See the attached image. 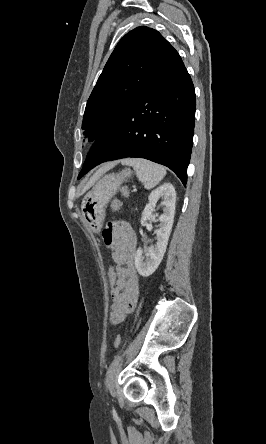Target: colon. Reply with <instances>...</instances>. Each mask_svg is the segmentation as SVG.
Wrapping results in <instances>:
<instances>
[{
	"mask_svg": "<svg viewBox=\"0 0 266 444\" xmlns=\"http://www.w3.org/2000/svg\"><path fill=\"white\" fill-rule=\"evenodd\" d=\"M119 193H120L121 198H127L129 195V191L126 187H121L119 190ZM121 205H122L121 199H115L111 203V209L113 211H118L120 209ZM106 280H107L108 287H109L110 291L112 292L115 289L117 281H118V272H117L115 265H111L109 267L107 274H106ZM121 342H122L121 335H117L114 340V347L118 348L120 346Z\"/></svg>",
	"mask_w": 266,
	"mask_h": 444,
	"instance_id": "5ec220e1",
	"label": "colon"
}]
</instances>
